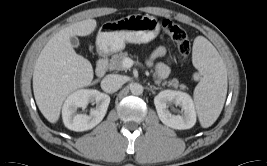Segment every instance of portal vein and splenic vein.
Returning a JSON list of instances; mask_svg holds the SVG:
<instances>
[{
    "label": "portal vein and splenic vein",
    "mask_w": 267,
    "mask_h": 166,
    "mask_svg": "<svg viewBox=\"0 0 267 166\" xmlns=\"http://www.w3.org/2000/svg\"><path fill=\"white\" fill-rule=\"evenodd\" d=\"M134 61L131 59V58H129V57H126L124 60H123V62H122V64H123V66L125 67V68H131L133 65H134Z\"/></svg>",
    "instance_id": "1"
}]
</instances>
